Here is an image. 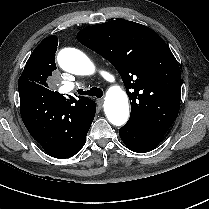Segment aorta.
<instances>
[{"instance_id":"obj_1","label":"aorta","mask_w":209,"mask_h":209,"mask_svg":"<svg viewBox=\"0 0 209 209\" xmlns=\"http://www.w3.org/2000/svg\"><path fill=\"white\" fill-rule=\"evenodd\" d=\"M60 67L72 74L90 75L94 72L93 62L82 51L64 48L58 54ZM104 111L108 121L115 126L124 125L129 118V102L125 91L114 86L107 92Z\"/></svg>"}]
</instances>
